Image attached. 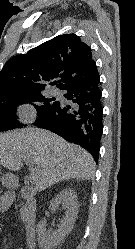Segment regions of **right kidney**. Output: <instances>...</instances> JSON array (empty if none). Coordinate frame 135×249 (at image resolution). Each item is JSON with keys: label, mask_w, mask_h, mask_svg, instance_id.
Here are the masks:
<instances>
[{"label": "right kidney", "mask_w": 135, "mask_h": 249, "mask_svg": "<svg viewBox=\"0 0 135 249\" xmlns=\"http://www.w3.org/2000/svg\"><path fill=\"white\" fill-rule=\"evenodd\" d=\"M59 205H62L65 210V216L60 220V226L57 231H46L45 218L37 225L38 245L41 249H52L56 247L73 229L78 215L77 195L75 192L71 189L60 192L50 201V211H55Z\"/></svg>", "instance_id": "right-kidney-1"}]
</instances>
